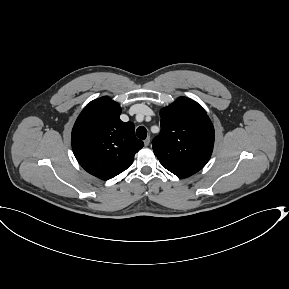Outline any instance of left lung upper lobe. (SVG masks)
<instances>
[{"mask_svg":"<svg viewBox=\"0 0 289 289\" xmlns=\"http://www.w3.org/2000/svg\"><path fill=\"white\" fill-rule=\"evenodd\" d=\"M161 132L154 138V154L164 168L179 178L201 170L210 159L214 127L195 101L180 97L160 112Z\"/></svg>","mask_w":289,"mask_h":289,"instance_id":"left-lung-upper-lobe-1","label":"left lung upper lobe"}]
</instances>
